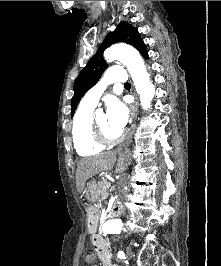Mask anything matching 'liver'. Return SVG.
I'll use <instances>...</instances> for the list:
<instances>
[{"label": "liver", "instance_id": "1", "mask_svg": "<svg viewBox=\"0 0 221 266\" xmlns=\"http://www.w3.org/2000/svg\"><path fill=\"white\" fill-rule=\"evenodd\" d=\"M117 161L116 172L122 173L127 167L128 157L126 154L118 151L117 152H105L93 157L82 158L77 163L76 170V187L79 193H82L85 187L86 181L103 172L110 171L113 169Z\"/></svg>", "mask_w": 221, "mask_h": 266}]
</instances>
